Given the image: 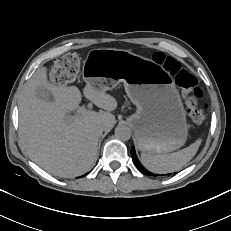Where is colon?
<instances>
[{
    "label": "colon",
    "instance_id": "1",
    "mask_svg": "<svg viewBox=\"0 0 231 231\" xmlns=\"http://www.w3.org/2000/svg\"><path fill=\"white\" fill-rule=\"evenodd\" d=\"M153 58L175 77L177 85L182 88L190 122L200 124L206 115L208 105L195 76L190 71L182 68L181 64L172 57L156 53ZM79 69L78 56L73 53L66 54L54 62L51 77L58 82H69L76 77Z\"/></svg>",
    "mask_w": 231,
    "mask_h": 231
}]
</instances>
